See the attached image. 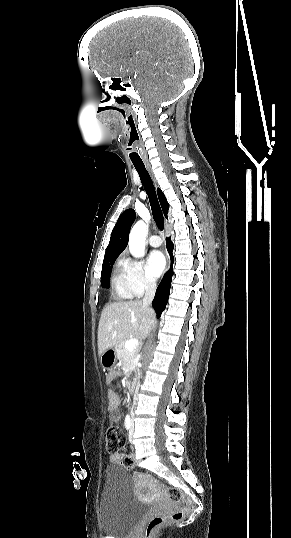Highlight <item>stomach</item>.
<instances>
[{"instance_id":"1","label":"stomach","mask_w":291,"mask_h":538,"mask_svg":"<svg viewBox=\"0 0 291 538\" xmlns=\"http://www.w3.org/2000/svg\"><path fill=\"white\" fill-rule=\"evenodd\" d=\"M117 355L114 348L107 349L101 355V365L105 369L112 368L116 362Z\"/></svg>"}]
</instances>
